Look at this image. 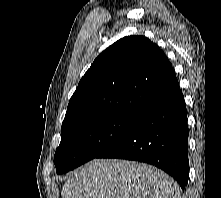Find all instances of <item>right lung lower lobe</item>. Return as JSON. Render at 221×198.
I'll return each mask as SVG.
<instances>
[{
    "mask_svg": "<svg viewBox=\"0 0 221 198\" xmlns=\"http://www.w3.org/2000/svg\"><path fill=\"white\" fill-rule=\"evenodd\" d=\"M187 110L180 88L143 114L135 127L96 158L154 165L174 177L184 191L189 178Z\"/></svg>",
    "mask_w": 221,
    "mask_h": 198,
    "instance_id": "98d812e1",
    "label": "right lung lower lobe"
}]
</instances>
